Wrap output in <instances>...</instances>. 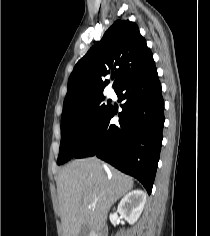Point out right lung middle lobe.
I'll return each instance as SVG.
<instances>
[{"label": "right lung middle lobe", "instance_id": "obj_1", "mask_svg": "<svg viewBox=\"0 0 210 236\" xmlns=\"http://www.w3.org/2000/svg\"><path fill=\"white\" fill-rule=\"evenodd\" d=\"M104 99L95 97L62 114L58 165L73 158L106 117L111 107L102 103Z\"/></svg>", "mask_w": 210, "mask_h": 236}]
</instances>
